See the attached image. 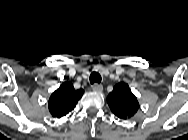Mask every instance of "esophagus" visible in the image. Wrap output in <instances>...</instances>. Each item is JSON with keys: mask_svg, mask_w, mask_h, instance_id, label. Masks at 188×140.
I'll return each instance as SVG.
<instances>
[{"mask_svg": "<svg viewBox=\"0 0 188 140\" xmlns=\"http://www.w3.org/2000/svg\"><path fill=\"white\" fill-rule=\"evenodd\" d=\"M92 90L95 91V92H102L103 86L101 84L95 83L92 86Z\"/></svg>", "mask_w": 188, "mask_h": 140, "instance_id": "obj_1", "label": "esophagus"}]
</instances>
